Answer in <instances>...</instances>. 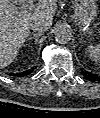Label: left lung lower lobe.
Instances as JSON below:
<instances>
[{
	"instance_id": "1",
	"label": "left lung lower lobe",
	"mask_w": 100,
	"mask_h": 118,
	"mask_svg": "<svg viewBox=\"0 0 100 118\" xmlns=\"http://www.w3.org/2000/svg\"><path fill=\"white\" fill-rule=\"evenodd\" d=\"M82 74L85 78H87L89 81H99L100 78L96 74L89 73L87 71H82Z\"/></svg>"
}]
</instances>
